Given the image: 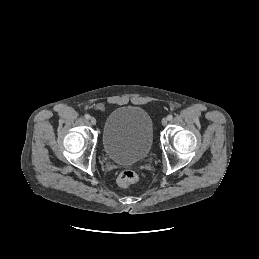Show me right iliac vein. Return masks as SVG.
<instances>
[{"label":"right iliac vein","mask_w":259,"mask_h":259,"mask_svg":"<svg viewBox=\"0 0 259 259\" xmlns=\"http://www.w3.org/2000/svg\"><path fill=\"white\" fill-rule=\"evenodd\" d=\"M90 123H91L92 125H95V124H96V119H95L94 117H91V118H90Z\"/></svg>","instance_id":"obj_1"}]
</instances>
